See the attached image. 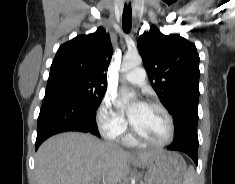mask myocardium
I'll return each instance as SVG.
<instances>
[{
  "label": "myocardium",
  "mask_w": 235,
  "mask_h": 184,
  "mask_svg": "<svg viewBox=\"0 0 235 184\" xmlns=\"http://www.w3.org/2000/svg\"><path fill=\"white\" fill-rule=\"evenodd\" d=\"M145 105L150 106V107H157L164 112V114L166 115V117L168 119V123H169L168 136L162 142H154V141H151V140L141 136L140 134H138V132L135 130V128L132 124L131 128H130L132 138L137 142H140L142 144H145V145H148V146H151L154 148H165V147L169 146L173 142L174 137H175V121H174L173 115L171 114L169 109L160 102L150 101V102H147Z\"/></svg>",
  "instance_id": "1"
}]
</instances>
